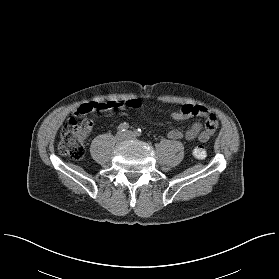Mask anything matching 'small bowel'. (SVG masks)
Returning <instances> with one entry per match:
<instances>
[{"instance_id":"c3829d8e","label":"small bowel","mask_w":279,"mask_h":279,"mask_svg":"<svg viewBox=\"0 0 279 279\" xmlns=\"http://www.w3.org/2000/svg\"><path fill=\"white\" fill-rule=\"evenodd\" d=\"M166 103V100H161ZM126 103L117 100L94 101L78 107L74 111L75 116H80L92 110H111L115 107H122ZM192 116H198L204 119V127L201 123L194 122L186 132L177 129H172L168 132V138L171 140H194L198 138L200 141H207L218 127V119L214 113L204 106L184 105L180 110L172 111L171 117L176 121H182ZM203 136L205 139H203Z\"/></svg>"}]
</instances>
